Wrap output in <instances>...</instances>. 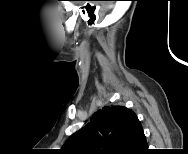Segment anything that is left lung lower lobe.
Returning a JSON list of instances; mask_svg holds the SVG:
<instances>
[{
  "label": "left lung lower lobe",
  "instance_id": "0a47b994",
  "mask_svg": "<svg viewBox=\"0 0 188 154\" xmlns=\"http://www.w3.org/2000/svg\"><path fill=\"white\" fill-rule=\"evenodd\" d=\"M146 137L136 114L132 116L127 141L124 145L125 154H141L147 151Z\"/></svg>",
  "mask_w": 188,
  "mask_h": 154
}]
</instances>
